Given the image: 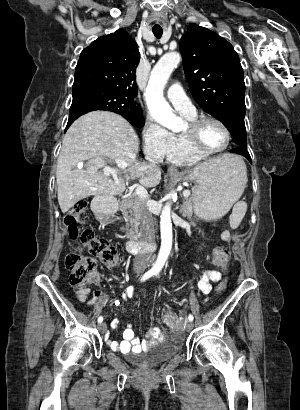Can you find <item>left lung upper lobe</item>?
<instances>
[{
    "mask_svg": "<svg viewBox=\"0 0 300 410\" xmlns=\"http://www.w3.org/2000/svg\"><path fill=\"white\" fill-rule=\"evenodd\" d=\"M180 51L196 102L225 125L236 148L247 149L244 73L233 46L207 28L190 24L180 40Z\"/></svg>",
    "mask_w": 300,
    "mask_h": 410,
    "instance_id": "5c2ea615",
    "label": "left lung upper lobe"
}]
</instances>
